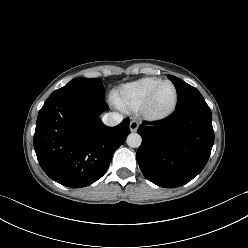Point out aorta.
Returning a JSON list of instances; mask_svg holds the SVG:
<instances>
[{
    "label": "aorta",
    "instance_id": "1",
    "mask_svg": "<svg viewBox=\"0 0 248 248\" xmlns=\"http://www.w3.org/2000/svg\"><path fill=\"white\" fill-rule=\"evenodd\" d=\"M127 144L132 148H138L141 145L142 138L138 133H131L127 137Z\"/></svg>",
    "mask_w": 248,
    "mask_h": 248
}]
</instances>
